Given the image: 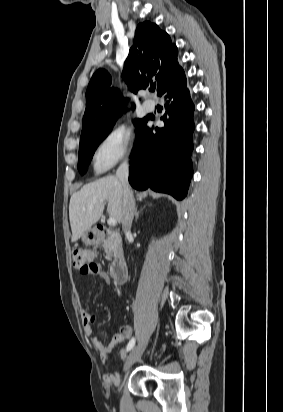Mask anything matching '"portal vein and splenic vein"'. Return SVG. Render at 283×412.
<instances>
[{"label":"portal vein and splenic vein","instance_id":"obj_1","mask_svg":"<svg viewBox=\"0 0 283 412\" xmlns=\"http://www.w3.org/2000/svg\"><path fill=\"white\" fill-rule=\"evenodd\" d=\"M107 223H108V225H110V226H115V225L117 224V220H116L115 218L110 217V218L107 220Z\"/></svg>","mask_w":283,"mask_h":412}]
</instances>
